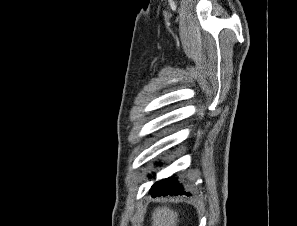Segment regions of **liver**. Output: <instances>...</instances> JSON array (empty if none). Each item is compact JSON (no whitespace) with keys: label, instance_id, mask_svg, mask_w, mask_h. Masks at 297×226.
Listing matches in <instances>:
<instances>
[{"label":"liver","instance_id":"obj_1","mask_svg":"<svg viewBox=\"0 0 297 226\" xmlns=\"http://www.w3.org/2000/svg\"><path fill=\"white\" fill-rule=\"evenodd\" d=\"M151 226H177L178 213L167 206L156 207L152 212Z\"/></svg>","mask_w":297,"mask_h":226}]
</instances>
